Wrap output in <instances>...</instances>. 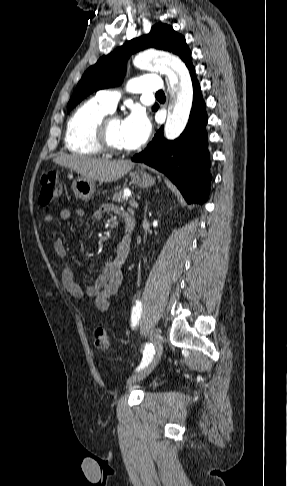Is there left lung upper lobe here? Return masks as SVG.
Here are the masks:
<instances>
[{"label": "left lung upper lobe", "mask_w": 287, "mask_h": 486, "mask_svg": "<svg viewBox=\"0 0 287 486\" xmlns=\"http://www.w3.org/2000/svg\"><path fill=\"white\" fill-rule=\"evenodd\" d=\"M154 47L178 55L183 62L191 57L185 38L175 32L170 25L157 23L147 35L126 42L108 55L102 56L95 65L89 67L79 81L67 105L69 113L78 103L94 91L118 86L126 73V61L138 51ZM158 106L154 105L153 110Z\"/></svg>", "instance_id": "left-lung-upper-lobe-1"}]
</instances>
